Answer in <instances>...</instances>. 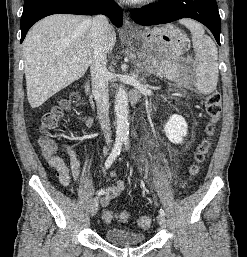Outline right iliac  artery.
Wrapping results in <instances>:
<instances>
[{
    "mask_svg": "<svg viewBox=\"0 0 247 257\" xmlns=\"http://www.w3.org/2000/svg\"><path fill=\"white\" fill-rule=\"evenodd\" d=\"M121 148H122V140L116 139L114 147L112 149V152L110 153V155L108 156V158L105 162L106 169H108L113 164V162L115 161L117 156L120 154ZM103 193H104L103 189H101L97 192L98 195H102Z\"/></svg>",
    "mask_w": 247,
    "mask_h": 257,
    "instance_id": "right-iliac-artery-1",
    "label": "right iliac artery"
}]
</instances>
